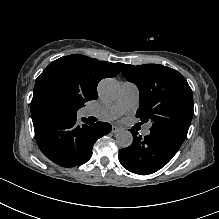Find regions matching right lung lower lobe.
<instances>
[{
  "mask_svg": "<svg viewBox=\"0 0 219 219\" xmlns=\"http://www.w3.org/2000/svg\"><path fill=\"white\" fill-rule=\"evenodd\" d=\"M35 138L40 150L51 161L62 167H74L86 163L92 156L97 139L110 133L109 123L86 124L77 122V115L63 116L54 112L32 113Z\"/></svg>",
  "mask_w": 219,
  "mask_h": 219,
  "instance_id": "obj_1",
  "label": "right lung lower lobe"
}]
</instances>
